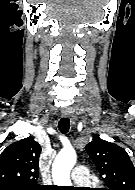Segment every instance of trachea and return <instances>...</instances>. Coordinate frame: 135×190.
Here are the masks:
<instances>
[{"mask_svg":"<svg viewBox=\"0 0 135 190\" xmlns=\"http://www.w3.org/2000/svg\"><path fill=\"white\" fill-rule=\"evenodd\" d=\"M59 131L62 134H66L70 128V120L69 118H61L58 125Z\"/></svg>","mask_w":135,"mask_h":190,"instance_id":"3493384b","label":"trachea"}]
</instances>
